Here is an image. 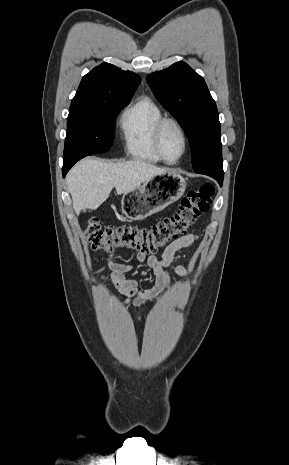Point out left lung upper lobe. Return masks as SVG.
<instances>
[{"mask_svg": "<svg viewBox=\"0 0 289 465\" xmlns=\"http://www.w3.org/2000/svg\"><path fill=\"white\" fill-rule=\"evenodd\" d=\"M147 82L188 137L195 172L217 181L224 177L221 125L216 103L204 79L186 63L178 62L148 75Z\"/></svg>", "mask_w": 289, "mask_h": 465, "instance_id": "1", "label": "left lung upper lobe"}]
</instances>
